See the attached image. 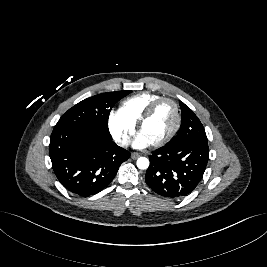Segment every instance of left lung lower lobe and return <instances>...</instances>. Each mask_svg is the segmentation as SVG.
Instances as JSON below:
<instances>
[{
    "label": "left lung lower lobe",
    "mask_w": 267,
    "mask_h": 267,
    "mask_svg": "<svg viewBox=\"0 0 267 267\" xmlns=\"http://www.w3.org/2000/svg\"><path fill=\"white\" fill-rule=\"evenodd\" d=\"M208 159L209 147L205 143L185 142L161 147L149 155L145 181L162 197L182 198L196 188Z\"/></svg>",
    "instance_id": "1"
}]
</instances>
